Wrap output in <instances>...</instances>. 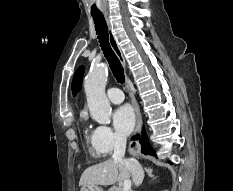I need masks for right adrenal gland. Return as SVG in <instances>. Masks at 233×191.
I'll use <instances>...</instances> for the list:
<instances>
[{"instance_id": "1", "label": "right adrenal gland", "mask_w": 233, "mask_h": 191, "mask_svg": "<svg viewBox=\"0 0 233 191\" xmlns=\"http://www.w3.org/2000/svg\"><path fill=\"white\" fill-rule=\"evenodd\" d=\"M144 169H145V172L149 175V177L154 179V175L152 174L153 170L147 167H145Z\"/></svg>"}]
</instances>
